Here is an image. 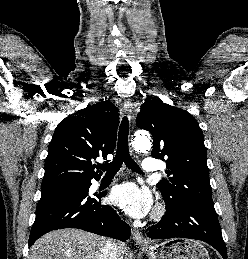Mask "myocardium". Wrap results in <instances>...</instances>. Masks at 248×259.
Here are the masks:
<instances>
[{
    "label": "myocardium",
    "mask_w": 248,
    "mask_h": 259,
    "mask_svg": "<svg viewBox=\"0 0 248 259\" xmlns=\"http://www.w3.org/2000/svg\"><path fill=\"white\" fill-rule=\"evenodd\" d=\"M164 213H165V206L162 203H158L155 206L151 217L156 220L161 218L164 215Z\"/></svg>",
    "instance_id": "obj_1"
}]
</instances>
